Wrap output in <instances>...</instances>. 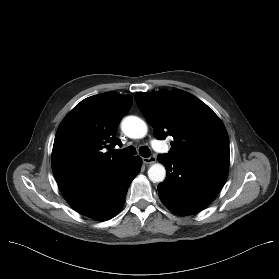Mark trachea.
Here are the masks:
<instances>
[{"instance_id": "trachea-1", "label": "trachea", "mask_w": 279, "mask_h": 279, "mask_svg": "<svg viewBox=\"0 0 279 279\" xmlns=\"http://www.w3.org/2000/svg\"><path fill=\"white\" fill-rule=\"evenodd\" d=\"M139 153L141 156L148 158L150 156V149L147 146H142L139 148ZM112 154L122 155V156H133L136 154V149L133 146L125 148L123 151L113 150Z\"/></svg>"}]
</instances>
